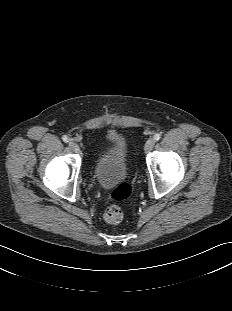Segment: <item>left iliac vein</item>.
I'll return each mask as SVG.
<instances>
[{
    "mask_svg": "<svg viewBox=\"0 0 232 311\" xmlns=\"http://www.w3.org/2000/svg\"><path fill=\"white\" fill-rule=\"evenodd\" d=\"M154 144H155V140L154 139H149L145 146H144V150L145 152H149L152 150V148L154 147Z\"/></svg>",
    "mask_w": 232,
    "mask_h": 311,
    "instance_id": "4c4485c4",
    "label": "left iliac vein"
}]
</instances>
